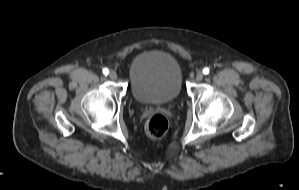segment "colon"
Wrapping results in <instances>:
<instances>
[{"instance_id": "1", "label": "colon", "mask_w": 299, "mask_h": 190, "mask_svg": "<svg viewBox=\"0 0 299 190\" xmlns=\"http://www.w3.org/2000/svg\"><path fill=\"white\" fill-rule=\"evenodd\" d=\"M168 130L167 119L160 114L151 116L145 124V133L151 139L162 138Z\"/></svg>"}]
</instances>
